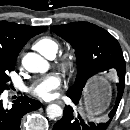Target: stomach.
Wrapping results in <instances>:
<instances>
[{
    "label": "stomach",
    "mask_w": 130,
    "mask_h": 130,
    "mask_svg": "<svg viewBox=\"0 0 130 130\" xmlns=\"http://www.w3.org/2000/svg\"><path fill=\"white\" fill-rule=\"evenodd\" d=\"M102 79H96L87 91L81 107V113L86 116H95L101 113L109 103L110 90L104 86Z\"/></svg>",
    "instance_id": "1"
}]
</instances>
